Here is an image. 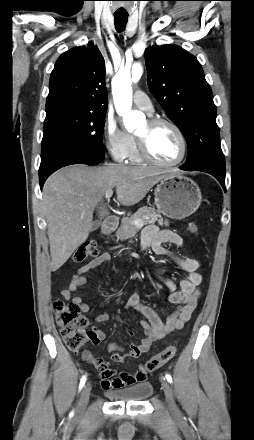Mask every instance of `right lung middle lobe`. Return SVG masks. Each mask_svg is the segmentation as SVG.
I'll return each mask as SVG.
<instances>
[{"label": "right lung middle lobe", "instance_id": "right-lung-middle-lobe-1", "mask_svg": "<svg viewBox=\"0 0 254 440\" xmlns=\"http://www.w3.org/2000/svg\"><path fill=\"white\" fill-rule=\"evenodd\" d=\"M106 112L74 106L46 110L39 178L69 164H96L104 157L103 129Z\"/></svg>", "mask_w": 254, "mask_h": 440}]
</instances>
